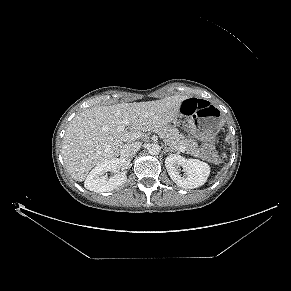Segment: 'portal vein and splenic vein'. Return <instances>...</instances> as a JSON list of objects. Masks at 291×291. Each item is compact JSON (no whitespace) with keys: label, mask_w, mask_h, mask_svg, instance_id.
Wrapping results in <instances>:
<instances>
[{"label":"portal vein and splenic vein","mask_w":291,"mask_h":291,"mask_svg":"<svg viewBox=\"0 0 291 291\" xmlns=\"http://www.w3.org/2000/svg\"><path fill=\"white\" fill-rule=\"evenodd\" d=\"M128 123H129V121H128V120H125V121H123V124L120 125L118 128H119L120 130H124V129H125V126L128 125ZM134 136H135L136 138H139V137H140V134H136V135H134ZM179 151L182 152V153H184V152H185V148L182 147V146H180V147H179Z\"/></svg>","instance_id":"18ae733b"}]
</instances>
